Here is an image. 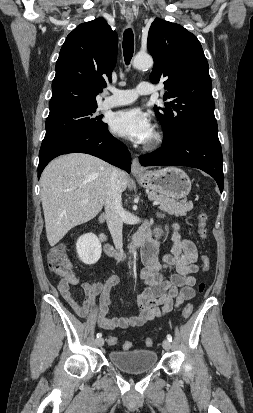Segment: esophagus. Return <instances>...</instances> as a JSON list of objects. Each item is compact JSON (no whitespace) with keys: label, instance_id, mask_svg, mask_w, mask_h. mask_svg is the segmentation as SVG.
Listing matches in <instances>:
<instances>
[{"label":"esophagus","instance_id":"34e87169","mask_svg":"<svg viewBox=\"0 0 253 413\" xmlns=\"http://www.w3.org/2000/svg\"><path fill=\"white\" fill-rule=\"evenodd\" d=\"M125 17L128 24H131L134 21L132 11H127ZM131 171L133 174H141L144 172V168L141 166L137 157L132 160Z\"/></svg>","mask_w":253,"mask_h":413}]
</instances>
